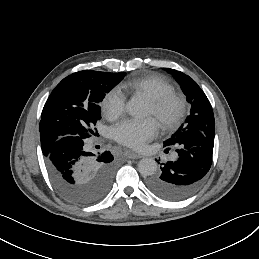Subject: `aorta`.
Listing matches in <instances>:
<instances>
[{
    "label": "aorta",
    "instance_id": "762f6f07",
    "mask_svg": "<svg viewBox=\"0 0 259 259\" xmlns=\"http://www.w3.org/2000/svg\"><path fill=\"white\" fill-rule=\"evenodd\" d=\"M126 111L133 117H142L145 113V107L138 98H132L126 104ZM138 170L142 176H151L157 170V162L153 158H143L138 163Z\"/></svg>",
    "mask_w": 259,
    "mask_h": 259
}]
</instances>
